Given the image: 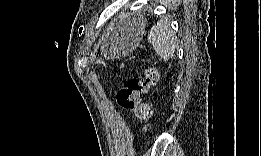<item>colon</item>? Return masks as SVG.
Listing matches in <instances>:
<instances>
[{
  "instance_id": "colon-1",
  "label": "colon",
  "mask_w": 261,
  "mask_h": 156,
  "mask_svg": "<svg viewBox=\"0 0 261 156\" xmlns=\"http://www.w3.org/2000/svg\"><path fill=\"white\" fill-rule=\"evenodd\" d=\"M158 78V68L151 67L142 75L128 78L116 92L118 106L134 111L137 118L144 123V132L148 130V122L152 118L153 111L151 106L142 100V96L157 84Z\"/></svg>"
}]
</instances>
